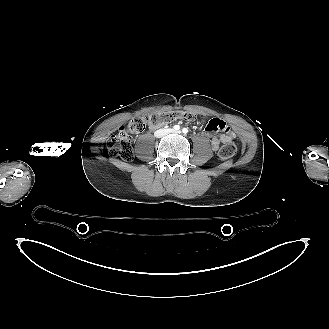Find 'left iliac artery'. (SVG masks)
Segmentation results:
<instances>
[{"label": "left iliac artery", "mask_w": 329, "mask_h": 329, "mask_svg": "<svg viewBox=\"0 0 329 329\" xmlns=\"http://www.w3.org/2000/svg\"><path fill=\"white\" fill-rule=\"evenodd\" d=\"M182 132H183L184 134H187V133H188V129H187V128H183V129H182Z\"/></svg>", "instance_id": "44dca946"}]
</instances>
